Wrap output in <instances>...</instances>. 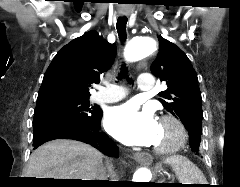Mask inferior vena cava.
Returning <instances> with one entry per match:
<instances>
[{
  "label": "inferior vena cava",
  "instance_id": "inferior-vena-cava-1",
  "mask_svg": "<svg viewBox=\"0 0 240 187\" xmlns=\"http://www.w3.org/2000/svg\"><path fill=\"white\" fill-rule=\"evenodd\" d=\"M106 179H107L106 171H105V168L102 167L98 171L96 180H106Z\"/></svg>",
  "mask_w": 240,
  "mask_h": 187
}]
</instances>
